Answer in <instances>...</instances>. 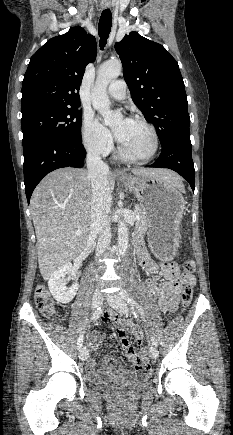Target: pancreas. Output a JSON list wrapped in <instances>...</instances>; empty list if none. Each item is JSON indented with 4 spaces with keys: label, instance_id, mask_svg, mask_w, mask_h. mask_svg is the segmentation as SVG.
Instances as JSON below:
<instances>
[{
    "label": "pancreas",
    "instance_id": "obj_1",
    "mask_svg": "<svg viewBox=\"0 0 233 435\" xmlns=\"http://www.w3.org/2000/svg\"><path fill=\"white\" fill-rule=\"evenodd\" d=\"M135 214L139 215V219L135 223V234L139 237H142L147 231L148 222L144 211L140 206L136 207Z\"/></svg>",
    "mask_w": 233,
    "mask_h": 435
}]
</instances>
